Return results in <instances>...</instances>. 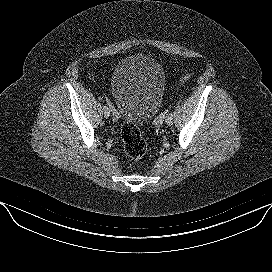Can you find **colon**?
<instances>
[{"mask_svg": "<svg viewBox=\"0 0 272 272\" xmlns=\"http://www.w3.org/2000/svg\"><path fill=\"white\" fill-rule=\"evenodd\" d=\"M190 77L191 74L183 76L181 83L186 82ZM121 138L126 155L134 162H139L147 151V143L136 124L125 122L121 128Z\"/></svg>", "mask_w": 272, "mask_h": 272, "instance_id": "5ec220e1", "label": "colon"}]
</instances>
